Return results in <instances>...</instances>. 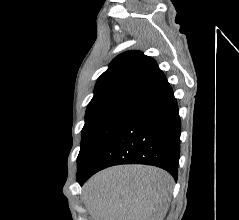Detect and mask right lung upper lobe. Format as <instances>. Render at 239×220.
<instances>
[{
	"mask_svg": "<svg viewBox=\"0 0 239 220\" xmlns=\"http://www.w3.org/2000/svg\"><path fill=\"white\" fill-rule=\"evenodd\" d=\"M166 80L154 59L140 51L124 52L98 78L86 116L118 106L132 105Z\"/></svg>",
	"mask_w": 239,
	"mask_h": 220,
	"instance_id": "right-lung-upper-lobe-1",
	"label": "right lung upper lobe"
}]
</instances>
